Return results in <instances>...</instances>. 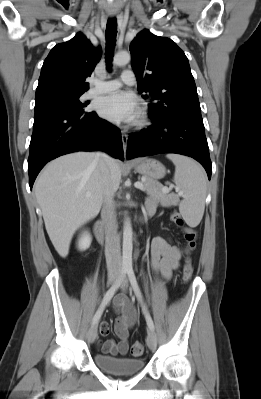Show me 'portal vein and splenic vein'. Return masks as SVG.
<instances>
[{
  "instance_id": "obj_1",
  "label": "portal vein and splenic vein",
  "mask_w": 261,
  "mask_h": 399,
  "mask_svg": "<svg viewBox=\"0 0 261 399\" xmlns=\"http://www.w3.org/2000/svg\"><path fill=\"white\" fill-rule=\"evenodd\" d=\"M134 185H135L136 188H138V189H140V190H143V189H144V186H143V183H142V182H136ZM163 190L166 191V192L169 191L168 188H163ZM178 195H182V192H179Z\"/></svg>"
}]
</instances>
